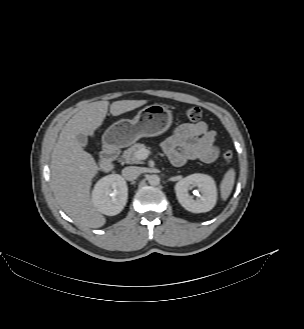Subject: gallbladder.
<instances>
[{"instance_id": "bac80fb5", "label": "gallbladder", "mask_w": 304, "mask_h": 329, "mask_svg": "<svg viewBox=\"0 0 304 329\" xmlns=\"http://www.w3.org/2000/svg\"><path fill=\"white\" fill-rule=\"evenodd\" d=\"M77 141L80 143V145L82 147H86L87 146V142H88V138L85 134L83 133H79L77 136Z\"/></svg>"}]
</instances>
